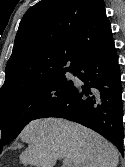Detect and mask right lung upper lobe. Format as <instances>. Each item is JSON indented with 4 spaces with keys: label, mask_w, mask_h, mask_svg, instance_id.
Listing matches in <instances>:
<instances>
[{
    "label": "right lung upper lobe",
    "mask_w": 125,
    "mask_h": 167,
    "mask_svg": "<svg viewBox=\"0 0 125 167\" xmlns=\"http://www.w3.org/2000/svg\"><path fill=\"white\" fill-rule=\"evenodd\" d=\"M103 0H42L23 16L0 99L66 71L108 28Z\"/></svg>",
    "instance_id": "obj_1"
}]
</instances>
